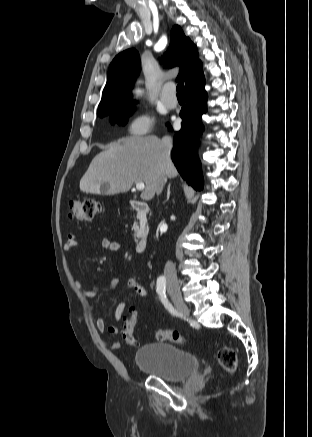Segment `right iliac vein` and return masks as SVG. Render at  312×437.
<instances>
[{"label": "right iliac vein", "mask_w": 312, "mask_h": 437, "mask_svg": "<svg viewBox=\"0 0 312 437\" xmlns=\"http://www.w3.org/2000/svg\"><path fill=\"white\" fill-rule=\"evenodd\" d=\"M168 292L171 296V299L176 309L187 317L189 315V309L185 304V302L183 301L178 283L176 281H173L172 278L168 279Z\"/></svg>", "instance_id": "right-iliac-vein-1"}]
</instances>
